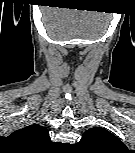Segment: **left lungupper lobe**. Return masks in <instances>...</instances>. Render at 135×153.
I'll return each instance as SVG.
<instances>
[{
  "label": "left lung upper lobe",
  "instance_id": "left-lung-upper-lobe-1",
  "mask_svg": "<svg viewBox=\"0 0 135 153\" xmlns=\"http://www.w3.org/2000/svg\"><path fill=\"white\" fill-rule=\"evenodd\" d=\"M78 145L91 153H121L126 150L116 136L102 127L86 130Z\"/></svg>",
  "mask_w": 135,
  "mask_h": 153
}]
</instances>
